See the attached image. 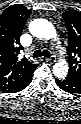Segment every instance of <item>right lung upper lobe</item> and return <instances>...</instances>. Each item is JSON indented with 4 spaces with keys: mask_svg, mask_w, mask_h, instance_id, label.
Returning <instances> with one entry per match:
<instances>
[{
    "mask_svg": "<svg viewBox=\"0 0 81 124\" xmlns=\"http://www.w3.org/2000/svg\"><path fill=\"white\" fill-rule=\"evenodd\" d=\"M31 11L23 5L8 7L0 15V89L5 91L22 81L37 68L38 64L26 58L18 59L23 50L20 35Z\"/></svg>",
    "mask_w": 81,
    "mask_h": 124,
    "instance_id": "right-lung-upper-lobe-1",
    "label": "right lung upper lobe"
}]
</instances>
